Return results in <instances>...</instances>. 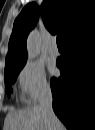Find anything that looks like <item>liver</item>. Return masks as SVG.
<instances>
[{
  "instance_id": "1",
  "label": "liver",
  "mask_w": 95,
  "mask_h": 130,
  "mask_svg": "<svg viewBox=\"0 0 95 130\" xmlns=\"http://www.w3.org/2000/svg\"><path fill=\"white\" fill-rule=\"evenodd\" d=\"M48 128L47 120L39 105L23 110H11L4 122V130H49ZM56 128L65 130L59 120Z\"/></svg>"
}]
</instances>
